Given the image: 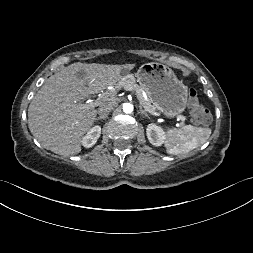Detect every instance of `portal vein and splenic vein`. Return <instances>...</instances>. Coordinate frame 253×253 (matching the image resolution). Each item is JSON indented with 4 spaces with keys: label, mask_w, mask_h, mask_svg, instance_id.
Returning a JSON list of instances; mask_svg holds the SVG:
<instances>
[{
    "label": "portal vein and splenic vein",
    "mask_w": 253,
    "mask_h": 253,
    "mask_svg": "<svg viewBox=\"0 0 253 253\" xmlns=\"http://www.w3.org/2000/svg\"><path fill=\"white\" fill-rule=\"evenodd\" d=\"M124 89L134 93V90L130 86H125ZM109 97H110V95H104V94L100 95L96 100H88L87 105L97 106V105H99V103L101 101L109 100ZM138 100H139L140 104H142L144 106L145 110L148 111L150 114H152L154 116H160V114L158 112H156L155 110L151 109L150 107L144 105L143 102L139 98H138ZM177 118L182 121H185L184 116L178 115Z\"/></svg>",
    "instance_id": "18ae733b"
}]
</instances>
